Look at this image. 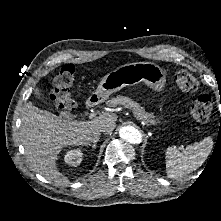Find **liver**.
I'll return each mask as SVG.
<instances>
[{"instance_id": "6515ba94", "label": "liver", "mask_w": 221, "mask_h": 221, "mask_svg": "<svg viewBox=\"0 0 221 221\" xmlns=\"http://www.w3.org/2000/svg\"><path fill=\"white\" fill-rule=\"evenodd\" d=\"M21 121L22 144L30 166L45 178L63 184L68 180L57 170L56 164L62 148L86 145L92 139V130L98 127L111 133L116 127L117 115L102 112L90 121H66L28 102Z\"/></svg>"}]
</instances>
